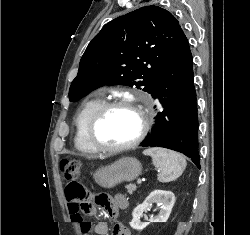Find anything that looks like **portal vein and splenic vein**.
I'll list each match as a JSON object with an SVG mask.
<instances>
[{"label": "portal vein and splenic vein", "mask_w": 250, "mask_h": 235, "mask_svg": "<svg viewBox=\"0 0 250 235\" xmlns=\"http://www.w3.org/2000/svg\"><path fill=\"white\" fill-rule=\"evenodd\" d=\"M142 181L140 179L137 180V184H141Z\"/></svg>", "instance_id": "portal-vein-and-splenic-vein-1"}]
</instances>
